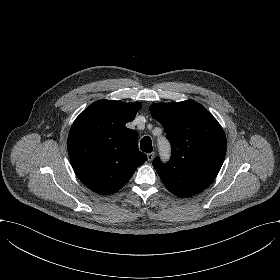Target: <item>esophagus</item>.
<instances>
[{
	"label": "esophagus",
	"mask_w": 280,
	"mask_h": 280,
	"mask_svg": "<svg viewBox=\"0 0 280 280\" xmlns=\"http://www.w3.org/2000/svg\"><path fill=\"white\" fill-rule=\"evenodd\" d=\"M155 156V153L154 152H150L147 154V158H148V161L151 162L153 160Z\"/></svg>",
	"instance_id": "34e87169"
}]
</instances>
